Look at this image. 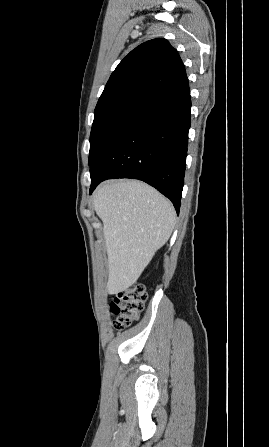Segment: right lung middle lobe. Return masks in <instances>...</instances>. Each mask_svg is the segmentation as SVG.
<instances>
[{
	"instance_id": "obj_1",
	"label": "right lung middle lobe",
	"mask_w": 269,
	"mask_h": 447,
	"mask_svg": "<svg viewBox=\"0 0 269 447\" xmlns=\"http://www.w3.org/2000/svg\"><path fill=\"white\" fill-rule=\"evenodd\" d=\"M141 107L125 106L94 117L90 134L89 165L92 167L94 160L127 116Z\"/></svg>"
}]
</instances>
